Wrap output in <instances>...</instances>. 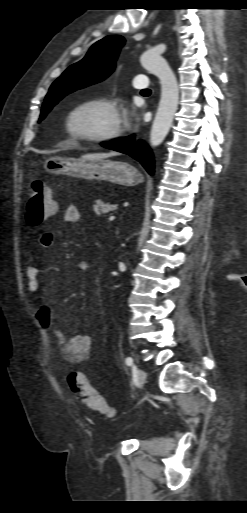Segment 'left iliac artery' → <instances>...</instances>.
Returning <instances> with one entry per match:
<instances>
[{
    "label": "left iliac artery",
    "instance_id": "1",
    "mask_svg": "<svg viewBox=\"0 0 247 513\" xmlns=\"http://www.w3.org/2000/svg\"><path fill=\"white\" fill-rule=\"evenodd\" d=\"M125 362H126V364H127V365H129V366L133 365V359H132L131 357L126 358V361H125Z\"/></svg>",
    "mask_w": 247,
    "mask_h": 513
}]
</instances>
